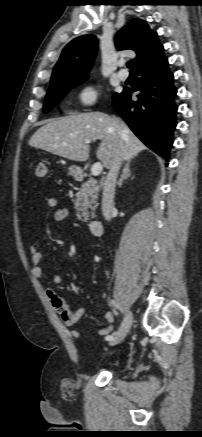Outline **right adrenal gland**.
<instances>
[{
    "instance_id": "1",
    "label": "right adrenal gland",
    "mask_w": 202,
    "mask_h": 437,
    "mask_svg": "<svg viewBox=\"0 0 202 437\" xmlns=\"http://www.w3.org/2000/svg\"><path fill=\"white\" fill-rule=\"evenodd\" d=\"M130 163H131V160H128L127 163L125 164V167L123 169V174L121 175V178L118 181L119 187L122 186L124 180H126L127 178H129L131 176Z\"/></svg>"
}]
</instances>
